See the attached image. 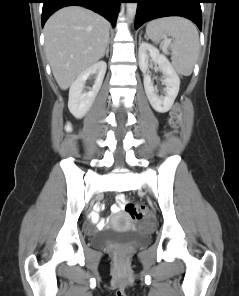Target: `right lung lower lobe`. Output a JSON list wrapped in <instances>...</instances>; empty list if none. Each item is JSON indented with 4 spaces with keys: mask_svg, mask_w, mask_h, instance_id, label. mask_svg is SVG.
Wrapping results in <instances>:
<instances>
[{
    "mask_svg": "<svg viewBox=\"0 0 239 296\" xmlns=\"http://www.w3.org/2000/svg\"><path fill=\"white\" fill-rule=\"evenodd\" d=\"M43 3L42 9V27L46 20L58 9L70 6L79 5L91 9L106 19H108L113 26L117 19L119 12V5L122 0H41Z\"/></svg>",
    "mask_w": 239,
    "mask_h": 296,
    "instance_id": "right-lung-lower-lobe-1",
    "label": "right lung lower lobe"
}]
</instances>
